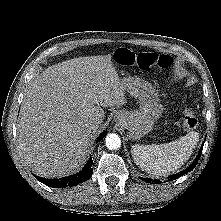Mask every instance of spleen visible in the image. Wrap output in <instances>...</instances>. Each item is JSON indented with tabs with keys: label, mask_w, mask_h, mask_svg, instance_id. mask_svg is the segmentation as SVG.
Listing matches in <instances>:
<instances>
[{
	"label": "spleen",
	"mask_w": 221,
	"mask_h": 221,
	"mask_svg": "<svg viewBox=\"0 0 221 221\" xmlns=\"http://www.w3.org/2000/svg\"><path fill=\"white\" fill-rule=\"evenodd\" d=\"M199 141L197 132H189L176 141L160 145L132 146V157L142 171L155 176H166L186 162Z\"/></svg>",
	"instance_id": "3e777b00"
}]
</instances>
